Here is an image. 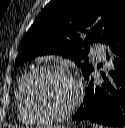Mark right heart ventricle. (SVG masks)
<instances>
[{"mask_svg":"<svg viewBox=\"0 0 125 128\" xmlns=\"http://www.w3.org/2000/svg\"><path fill=\"white\" fill-rule=\"evenodd\" d=\"M28 73H25L20 79L16 89V112L18 118L25 124L33 125L39 124L41 121L37 120L27 109L23 96V86Z\"/></svg>","mask_w":125,"mask_h":128,"instance_id":"obj_1","label":"right heart ventricle"}]
</instances>
